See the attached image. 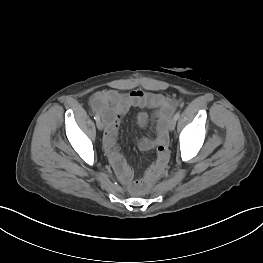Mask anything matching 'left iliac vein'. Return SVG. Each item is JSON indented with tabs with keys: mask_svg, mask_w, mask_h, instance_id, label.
<instances>
[{
	"mask_svg": "<svg viewBox=\"0 0 263 263\" xmlns=\"http://www.w3.org/2000/svg\"><path fill=\"white\" fill-rule=\"evenodd\" d=\"M175 126H176V119L175 118H172L170 121H169V125H168V128L170 131H173L175 129Z\"/></svg>",
	"mask_w": 263,
	"mask_h": 263,
	"instance_id": "4c4485c4",
	"label": "left iliac vein"
}]
</instances>
